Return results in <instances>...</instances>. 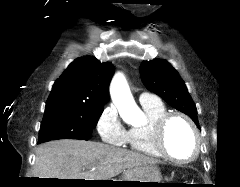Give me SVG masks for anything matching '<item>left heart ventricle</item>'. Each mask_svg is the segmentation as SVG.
<instances>
[{
  "label": "left heart ventricle",
  "instance_id": "obj_1",
  "mask_svg": "<svg viewBox=\"0 0 240 187\" xmlns=\"http://www.w3.org/2000/svg\"><path fill=\"white\" fill-rule=\"evenodd\" d=\"M166 148L175 157L181 160L190 158L194 153V136L181 118L172 119L166 130Z\"/></svg>",
  "mask_w": 240,
  "mask_h": 187
}]
</instances>
